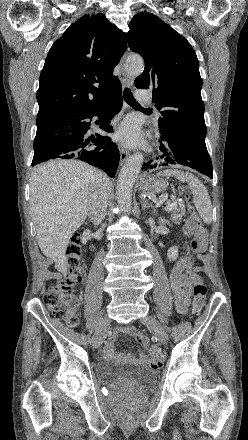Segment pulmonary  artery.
Here are the masks:
<instances>
[{"instance_id": "e3ab8cb5", "label": "pulmonary artery", "mask_w": 248, "mask_h": 440, "mask_svg": "<svg viewBox=\"0 0 248 440\" xmlns=\"http://www.w3.org/2000/svg\"><path fill=\"white\" fill-rule=\"evenodd\" d=\"M136 97L141 101H147L149 98L148 94L143 90H137Z\"/></svg>"}]
</instances>
